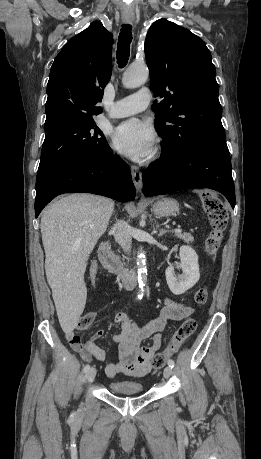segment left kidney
Masks as SVG:
<instances>
[{
	"instance_id": "1",
	"label": "left kidney",
	"mask_w": 261,
	"mask_h": 459,
	"mask_svg": "<svg viewBox=\"0 0 261 459\" xmlns=\"http://www.w3.org/2000/svg\"><path fill=\"white\" fill-rule=\"evenodd\" d=\"M180 265L183 273L175 275L174 267L169 266L166 271V281L171 292L175 295H181L188 289L192 288L200 278L198 255L196 251L187 245L180 247Z\"/></svg>"
}]
</instances>
